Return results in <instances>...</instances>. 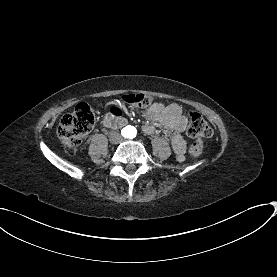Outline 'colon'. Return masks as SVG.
Returning <instances> with one entry per match:
<instances>
[{
    "label": "colon",
    "mask_w": 277,
    "mask_h": 277,
    "mask_svg": "<svg viewBox=\"0 0 277 277\" xmlns=\"http://www.w3.org/2000/svg\"><path fill=\"white\" fill-rule=\"evenodd\" d=\"M119 100L134 108H144L152 104L153 99L142 94H124ZM90 99H79L75 111L65 114L57 127V137L67 150L77 148L84 137L91 131L94 123V112L90 109ZM188 135L196 140L189 148L191 159L198 158L203 152L202 143L212 136L209 123L198 113L189 115Z\"/></svg>",
    "instance_id": "obj_1"
}]
</instances>
